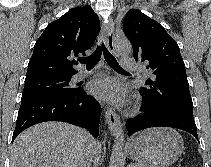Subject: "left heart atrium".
Returning a JSON list of instances; mask_svg holds the SVG:
<instances>
[{
  "label": "left heart atrium",
  "instance_id": "39dd6f15",
  "mask_svg": "<svg viewBox=\"0 0 211 167\" xmlns=\"http://www.w3.org/2000/svg\"><path fill=\"white\" fill-rule=\"evenodd\" d=\"M89 90L92 94L111 102H121L124 97L122 85L113 79L95 80L90 84Z\"/></svg>",
  "mask_w": 211,
  "mask_h": 167
}]
</instances>
